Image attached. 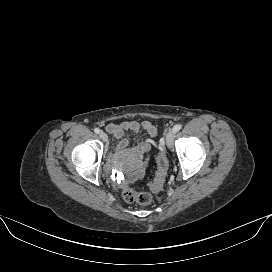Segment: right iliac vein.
<instances>
[{"instance_id": "1", "label": "right iliac vein", "mask_w": 272, "mask_h": 272, "mask_svg": "<svg viewBox=\"0 0 272 272\" xmlns=\"http://www.w3.org/2000/svg\"><path fill=\"white\" fill-rule=\"evenodd\" d=\"M99 136L103 141L108 140V136H107V134L105 132H100Z\"/></svg>"}]
</instances>
